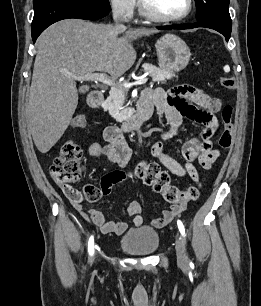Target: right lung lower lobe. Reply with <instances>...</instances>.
Instances as JSON below:
<instances>
[{
    "label": "right lung lower lobe",
    "instance_id": "98d812e1",
    "mask_svg": "<svg viewBox=\"0 0 261 306\" xmlns=\"http://www.w3.org/2000/svg\"><path fill=\"white\" fill-rule=\"evenodd\" d=\"M33 7L31 28L34 43L42 31L57 21L68 18L96 20L109 13V10L71 0H33Z\"/></svg>",
    "mask_w": 261,
    "mask_h": 306
}]
</instances>
